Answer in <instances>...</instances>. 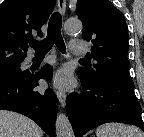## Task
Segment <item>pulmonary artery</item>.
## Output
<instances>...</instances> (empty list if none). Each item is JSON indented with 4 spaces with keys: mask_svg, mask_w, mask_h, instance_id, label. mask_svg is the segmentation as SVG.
Here are the masks:
<instances>
[{
    "mask_svg": "<svg viewBox=\"0 0 144 137\" xmlns=\"http://www.w3.org/2000/svg\"><path fill=\"white\" fill-rule=\"evenodd\" d=\"M69 47L71 53L80 55L84 53L85 44L81 40H70Z\"/></svg>",
    "mask_w": 144,
    "mask_h": 137,
    "instance_id": "obj_1",
    "label": "pulmonary artery"
}]
</instances>
